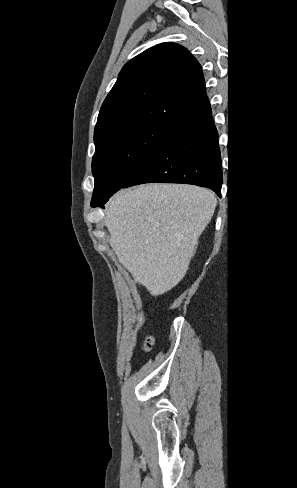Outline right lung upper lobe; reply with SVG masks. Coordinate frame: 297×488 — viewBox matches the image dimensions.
<instances>
[{
    "label": "right lung upper lobe",
    "instance_id": "right-lung-upper-lobe-1",
    "mask_svg": "<svg viewBox=\"0 0 297 488\" xmlns=\"http://www.w3.org/2000/svg\"><path fill=\"white\" fill-rule=\"evenodd\" d=\"M209 108L198 61L179 44L161 43L124 65L100 109L94 142L138 126L172 129Z\"/></svg>",
    "mask_w": 297,
    "mask_h": 488
}]
</instances>
